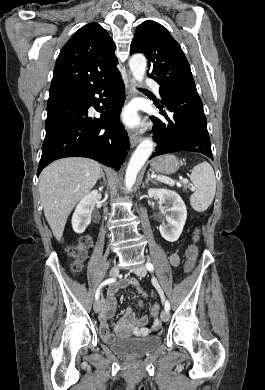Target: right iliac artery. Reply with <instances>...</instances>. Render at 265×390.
Returning <instances> with one entry per match:
<instances>
[{
	"instance_id": "82829eb1",
	"label": "right iliac artery",
	"mask_w": 265,
	"mask_h": 390,
	"mask_svg": "<svg viewBox=\"0 0 265 390\" xmlns=\"http://www.w3.org/2000/svg\"><path fill=\"white\" fill-rule=\"evenodd\" d=\"M115 282V279L114 278H109L107 280H105L104 282L101 283V285L99 286V288L97 289L96 293H95V299L98 300L99 299V296H100V290L103 286L107 285V284H111Z\"/></svg>"
}]
</instances>
